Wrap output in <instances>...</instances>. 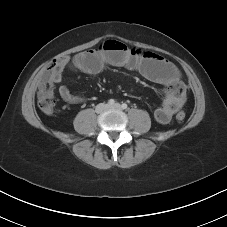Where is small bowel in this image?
I'll list each match as a JSON object with an SVG mask.
<instances>
[{
	"label": "small bowel",
	"instance_id": "c3829d8e",
	"mask_svg": "<svg viewBox=\"0 0 227 227\" xmlns=\"http://www.w3.org/2000/svg\"><path fill=\"white\" fill-rule=\"evenodd\" d=\"M107 65L137 70L149 81L165 87V98L154 111L158 123L167 124L175 111L184 105L185 89L174 64L158 54L129 48L116 40H108L101 47L81 52L73 59L61 58L60 63L50 70L48 78L52 83H60L68 66L83 73L98 74ZM58 93L69 103L85 101V97L72 94L65 85L59 86Z\"/></svg>",
	"mask_w": 227,
	"mask_h": 227
}]
</instances>
